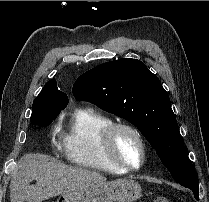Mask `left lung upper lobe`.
Returning <instances> with one entry per match:
<instances>
[{"instance_id": "obj_1", "label": "left lung upper lobe", "mask_w": 209, "mask_h": 202, "mask_svg": "<svg viewBox=\"0 0 209 202\" xmlns=\"http://www.w3.org/2000/svg\"><path fill=\"white\" fill-rule=\"evenodd\" d=\"M72 92L77 100L94 103L136 126L172 177L180 185L198 190L170 98L143 62L119 59L98 65L75 81Z\"/></svg>"}]
</instances>
